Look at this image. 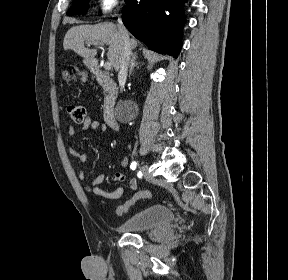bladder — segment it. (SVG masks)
I'll return each mask as SVG.
<instances>
[{
    "mask_svg": "<svg viewBox=\"0 0 288 280\" xmlns=\"http://www.w3.org/2000/svg\"><path fill=\"white\" fill-rule=\"evenodd\" d=\"M174 212L166 205H153L126 219L119 229L126 233H136L167 226L174 220Z\"/></svg>",
    "mask_w": 288,
    "mask_h": 280,
    "instance_id": "obj_1",
    "label": "bladder"
}]
</instances>
